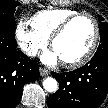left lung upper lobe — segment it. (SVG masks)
<instances>
[{
	"label": "left lung upper lobe",
	"mask_w": 108,
	"mask_h": 108,
	"mask_svg": "<svg viewBox=\"0 0 108 108\" xmlns=\"http://www.w3.org/2000/svg\"><path fill=\"white\" fill-rule=\"evenodd\" d=\"M103 20L104 19L99 16V21L101 22L99 25L101 44L99 45L95 56H108V23L103 22Z\"/></svg>",
	"instance_id": "5c2ea615"
}]
</instances>
